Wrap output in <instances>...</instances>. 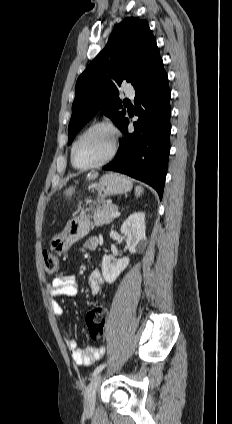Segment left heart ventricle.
<instances>
[{
	"label": "left heart ventricle",
	"mask_w": 232,
	"mask_h": 424,
	"mask_svg": "<svg viewBox=\"0 0 232 424\" xmlns=\"http://www.w3.org/2000/svg\"><path fill=\"white\" fill-rule=\"evenodd\" d=\"M111 134L104 129H95L86 134L75 150V160L87 166L103 159L111 149Z\"/></svg>",
	"instance_id": "obj_1"
}]
</instances>
